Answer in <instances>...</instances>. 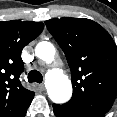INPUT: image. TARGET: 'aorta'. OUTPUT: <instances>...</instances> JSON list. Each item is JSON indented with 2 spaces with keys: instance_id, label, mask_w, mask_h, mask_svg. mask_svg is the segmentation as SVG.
<instances>
[{
  "instance_id": "1",
  "label": "aorta",
  "mask_w": 117,
  "mask_h": 117,
  "mask_svg": "<svg viewBox=\"0 0 117 117\" xmlns=\"http://www.w3.org/2000/svg\"><path fill=\"white\" fill-rule=\"evenodd\" d=\"M36 56L46 63L55 57V47L52 43L42 41L35 49ZM46 88L49 98L58 104L67 102L72 96V84L68 76L61 71H51L47 75Z\"/></svg>"
}]
</instances>
